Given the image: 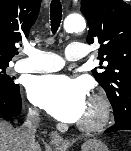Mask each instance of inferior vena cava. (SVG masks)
Returning <instances> with one entry per match:
<instances>
[{"label": "inferior vena cava", "mask_w": 131, "mask_h": 151, "mask_svg": "<svg viewBox=\"0 0 131 151\" xmlns=\"http://www.w3.org/2000/svg\"><path fill=\"white\" fill-rule=\"evenodd\" d=\"M39 117L34 112H29L24 124L16 130L23 151H37L35 132L39 124Z\"/></svg>", "instance_id": "inferior-vena-cava-1"}]
</instances>
